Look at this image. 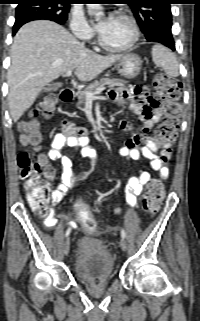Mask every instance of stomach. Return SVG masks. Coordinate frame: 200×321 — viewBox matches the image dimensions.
Masks as SVG:
<instances>
[{
	"instance_id": "obj_1",
	"label": "stomach",
	"mask_w": 200,
	"mask_h": 321,
	"mask_svg": "<svg viewBox=\"0 0 200 321\" xmlns=\"http://www.w3.org/2000/svg\"><path fill=\"white\" fill-rule=\"evenodd\" d=\"M142 60L135 53L122 55L116 64V68L121 76L131 79L136 77L141 70Z\"/></svg>"
}]
</instances>
